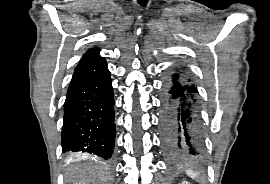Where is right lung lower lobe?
<instances>
[{
    "mask_svg": "<svg viewBox=\"0 0 270 184\" xmlns=\"http://www.w3.org/2000/svg\"><path fill=\"white\" fill-rule=\"evenodd\" d=\"M113 97L104 58L76 67L64 103L63 152L111 157L116 135Z\"/></svg>",
    "mask_w": 270,
    "mask_h": 184,
    "instance_id": "right-lung-lower-lobe-1",
    "label": "right lung lower lobe"
}]
</instances>
